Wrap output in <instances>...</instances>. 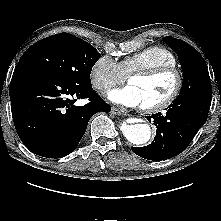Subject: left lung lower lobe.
<instances>
[{
	"label": "left lung lower lobe",
	"instance_id": "left-lung-lower-lobe-1",
	"mask_svg": "<svg viewBox=\"0 0 221 221\" xmlns=\"http://www.w3.org/2000/svg\"><path fill=\"white\" fill-rule=\"evenodd\" d=\"M212 88L201 90L193 96L174 100L166 115L147 116L157 128L154 141L144 147H132L138 156L148 160H165L184 151L207 120Z\"/></svg>",
	"mask_w": 221,
	"mask_h": 221
}]
</instances>
